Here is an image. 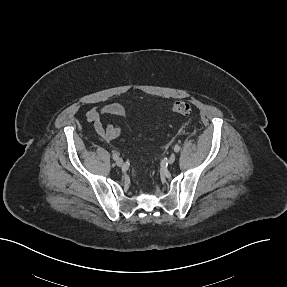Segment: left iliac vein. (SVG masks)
Masks as SVG:
<instances>
[{"instance_id": "1", "label": "left iliac vein", "mask_w": 287, "mask_h": 287, "mask_svg": "<svg viewBox=\"0 0 287 287\" xmlns=\"http://www.w3.org/2000/svg\"><path fill=\"white\" fill-rule=\"evenodd\" d=\"M175 160H176L175 154H171L170 157L168 158V163L173 164Z\"/></svg>"}]
</instances>
